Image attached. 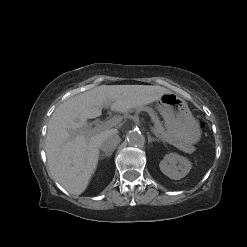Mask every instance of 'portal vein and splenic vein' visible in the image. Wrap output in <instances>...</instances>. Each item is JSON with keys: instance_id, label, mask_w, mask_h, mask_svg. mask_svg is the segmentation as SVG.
<instances>
[{"instance_id": "portal-vein-and-splenic-vein-1", "label": "portal vein and splenic vein", "mask_w": 247, "mask_h": 247, "mask_svg": "<svg viewBox=\"0 0 247 247\" xmlns=\"http://www.w3.org/2000/svg\"><path fill=\"white\" fill-rule=\"evenodd\" d=\"M120 122H121V119L120 118H113V119H110V120H108V121H106V122H104L102 124H97V126L95 128H93V129L88 130V129L84 128L83 130L84 131H87V132L100 131V130H102L104 128H110L112 126H116ZM150 129L153 132V134L157 135L156 130L152 126H150Z\"/></svg>"}]
</instances>
